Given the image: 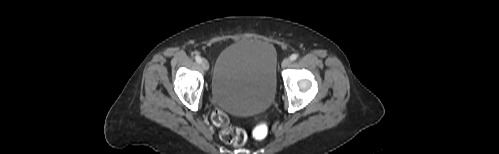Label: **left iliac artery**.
<instances>
[{
  "label": "left iliac artery",
  "mask_w": 499,
  "mask_h": 154,
  "mask_svg": "<svg viewBox=\"0 0 499 154\" xmlns=\"http://www.w3.org/2000/svg\"><path fill=\"white\" fill-rule=\"evenodd\" d=\"M297 57H298V55H297V54H292V55L290 56V60H291V61H294V60H296V59H297Z\"/></svg>",
  "instance_id": "44dca946"
}]
</instances>
